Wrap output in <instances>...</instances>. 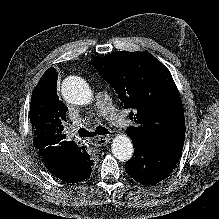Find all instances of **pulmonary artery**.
Masks as SVG:
<instances>
[{
	"instance_id": "obj_1",
	"label": "pulmonary artery",
	"mask_w": 219,
	"mask_h": 219,
	"mask_svg": "<svg viewBox=\"0 0 219 219\" xmlns=\"http://www.w3.org/2000/svg\"><path fill=\"white\" fill-rule=\"evenodd\" d=\"M95 100L103 116L110 122L120 125L121 122L125 121V116L115 108L106 92L102 90L97 91Z\"/></svg>"
}]
</instances>
